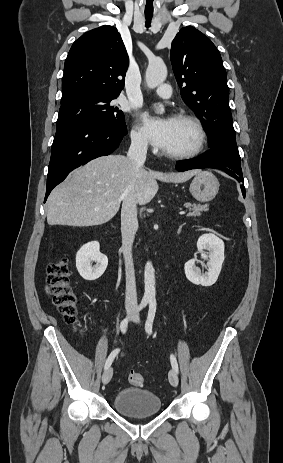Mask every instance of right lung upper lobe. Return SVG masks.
<instances>
[{
    "instance_id": "1",
    "label": "right lung upper lobe",
    "mask_w": 283,
    "mask_h": 463,
    "mask_svg": "<svg viewBox=\"0 0 283 463\" xmlns=\"http://www.w3.org/2000/svg\"><path fill=\"white\" fill-rule=\"evenodd\" d=\"M129 58L113 26L90 30L77 39L66 58L61 105L87 96H118Z\"/></svg>"
}]
</instances>
